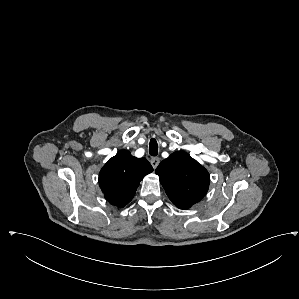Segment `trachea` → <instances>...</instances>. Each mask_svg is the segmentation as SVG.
<instances>
[{"label": "trachea", "mask_w": 299, "mask_h": 299, "mask_svg": "<svg viewBox=\"0 0 299 299\" xmlns=\"http://www.w3.org/2000/svg\"><path fill=\"white\" fill-rule=\"evenodd\" d=\"M149 153L151 156H156L158 154V144L155 139H151L149 143Z\"/></svg>", "instance_id": "3493384b"}]
</instances>
